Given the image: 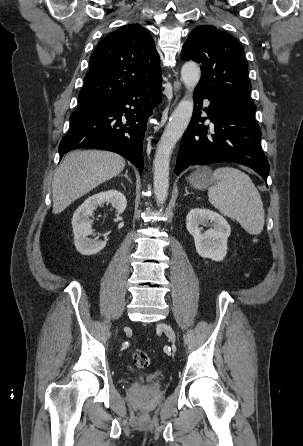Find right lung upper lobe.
I'll return each mask as SVG.
<instances>
[{
	"instance_id": "right-lung-upper-lobe-1",
	"label": "right lung upper lobe",
	"mask_w": 303,
	"mask_h": 446,
	"mask_svg": "<svg viewBox=\"0 0 303 446\" xmlns=\"http://www.w3.org/2000/svg\"><path fill=\"white\" fill-rule=\"evenodd\" d=\"M159 55L147 29L131 25L109 33L90 57L79 105L161 80Z\"/></svg>"
}]
</instances>
